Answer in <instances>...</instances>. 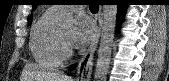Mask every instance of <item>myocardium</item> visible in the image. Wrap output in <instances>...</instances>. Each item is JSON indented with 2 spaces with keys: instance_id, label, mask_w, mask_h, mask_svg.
<instances>
[{
  "instance_id": "1",
  "label": "myocardium",
  "mask_w": 169,
  "mask_h": 81,
  "mask_svg": "<svg viewBox=\"0 0 169 81\" xmlns=\"http://www.w3.org/2000/svg\"><path fill=\"white\" fill-rule=\"evenodd\" d=\"M57 39H58V44H59V48H60V51H61V54L63 57H68L71 55V47L69 45L68 42H66L63 37L61 36L60 32H58V36H57Z\"/></svg>"
}]
</instances>
